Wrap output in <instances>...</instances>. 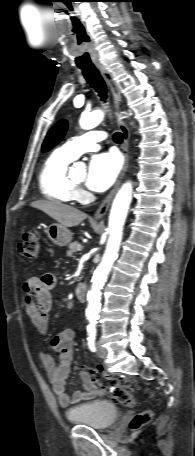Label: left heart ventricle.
I'll return each instance as SVG.
<instances>
[{
    "mask_svg": "<svg viewBox=\"0 0 195 456\" xmlns=\"http://www.w3.org/2000/svg\"><path fill=\"white\" fill-rule=\"evenodd\" d=\"M85 177V174L84 173H79L78 175H76L73 180L76 182V183H80L83 181Z\"/></svg>",
    "mask_w": 195,
    "mask_h": 456,
    "instance_id": "b2bd125f",
    "label": "left heart ventricle"
}]
</instances>
